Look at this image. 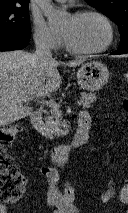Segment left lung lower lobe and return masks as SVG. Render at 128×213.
I'll return each instance as SVG.
<instances>
[{
	"label": "left lung lower lobe",
	"mask_w": 128,
	"mask_h": 213,
	"mask_svg": "<svg viewBox=\"0 0 128 213\" xmlns=\"http://www.w3.org/2000/svg\"><path fill=\"white\" fill-rule=\"evenodd\" d=\"M128 53V47L124 49H118L117 51L113 52V54H125Z\"/></svg>",
	"instance_id": "left-lung-lower-lobe-1"
}]
</instances>
